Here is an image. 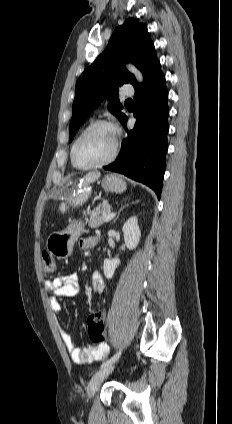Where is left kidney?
Instances as JSON below:
<instances>
[{
	"instance_id": "5707ae66",
	"label": "left kidney",
	"mask_w": 232,
	"mask_h": 424,
	"mask_svg": "<svg viewBox=\"0 0 232 424\" xmlns=\"http://www.w3.org/2000/svg\"><path fill=\"white\" fill-rule=\"evenodd\" d=\"M124 234L125 245L129 250L137 247L141 237V231L138 226L137 217L129 218L122 228ZM119 259H105L103 264L104 275L107 279H111L116 268L119 266Z\"/></svg>"
}]
</instances>
